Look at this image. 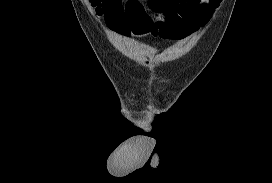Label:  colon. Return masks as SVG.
<instances>
[{"instance_id":"1","label":"colon","mask_w":272,"mask_h":183,"mask_svg":"<svg viewBox=\"0 0 272 183\" xmlns=\"http://www.w3.org/2000/svg\"><path fill=\"white\" fill-rule=\"evenodd\" d=\"M91 4L98 9L100 6V3L103 2V0H90Z\"/></svg>"}]
</instances>
